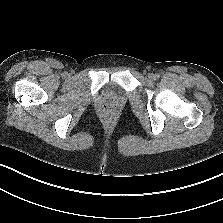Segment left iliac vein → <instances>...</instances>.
<instances>
[{"label":"left iliac vein","mask_w":223,"mask_h":223,"mask_svg":"<svg viewBox=\"0 0 223 223\" xmlns=\"http://www.w3.org/2000/svg\"><path fill=\"white\" fill-rule=\"evenodd\" d=\"M148 78H149L150 80H155V75L152 74V73H150V74H148Z\"/></svg>","instance_id":"1"}]
</instances>
